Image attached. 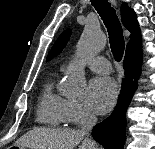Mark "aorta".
<instances>
[{
  "label": "aorta",
  "mask_w": 155,
  "mask_h": 149,
  "mask_svg": "<svg viewBox=\"0 0 155 149\" xmlns=\"http://www.w3.org/2000/svg\"><path fill=\"white\" fill-rule=\"evenodd\" d=\"M106 38L98 27L87 25L76 46V59L66 72L61 84V91L67 97L82 98L85 93V62L92 55L101 51Z\"/></svg>",
  "instance_id": "aorta-1"
}]
</instances>
